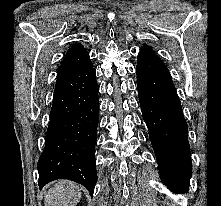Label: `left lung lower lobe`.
I'll list each match as a JSON object with an SVG mask.
<instances>
[{"label": "left lung lower lobe", "instance_id": "1", "mask_svg": "<svg viewBox=\"0 0 221 206\" xmlns=\"http://www.w3.org/2000/svg\"><path fill=\"white\" fill-rule=\"evenodd\" d=\"M136 73L142 115L161 179L171 190L186 192L192 169L188 127L172 78L141 70Z\"/></svg>", "mask_w": 221, "mask_h": 206}]
</instances>
